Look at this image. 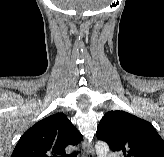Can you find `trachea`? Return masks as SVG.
Wrapping results in <instances>:
<instances>
[{
    "mask_svg": "<svg viewBox=\"0 0 164 157\" xmlns=\"http://www.w3.org/2000/svg\"><path fill=\"white\" fill-rule=\"evenodd\" d=\"M67 157H77V153H72V154H70V155L67 156Z\"/></svg>",
    "mask_w": 164,
    "mask_h": 157,
    "instance_id": "trachea-1",
    "label": "trachea"
}]
</instances>
